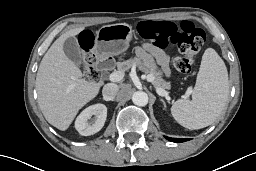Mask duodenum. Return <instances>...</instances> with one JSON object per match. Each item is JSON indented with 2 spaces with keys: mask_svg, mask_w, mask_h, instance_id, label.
<instances>
[{
  "mask_svg": "<svg viewBox=\"0 0 256 171\" xmlns=\"http://www.w3.org/2000/svg\"><path fill=\"white\" fill-rule=\"evenodd\" d=\"M96 65L101 70H108L113 67L114 62L110 57H101L96 60Z\"/></svg>",
  "mask_w": 256,
  "mask_h": 171,
  "instance_id": "410a0bca",
  "label": "duodenum"
}]
</instances>
